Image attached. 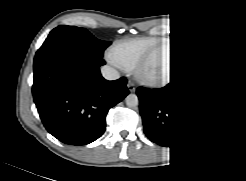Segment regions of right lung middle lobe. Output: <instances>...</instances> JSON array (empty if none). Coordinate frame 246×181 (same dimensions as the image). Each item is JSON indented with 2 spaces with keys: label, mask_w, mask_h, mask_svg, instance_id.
Returning a JSON list of instances; mask_svg holds the SVG:
<instances>
[{
  "label": "right lung middle lobe",
  "mask_w": 246,
  "mask_h": 181,
  "mask_svg": "<svg viewBox=\"0 0 246 181\" xmlns=\"http://www.w3.org/2000/svg\"><path fill=\"white\" fill-rule=\"evenodd\" d=\"M111 44L109 41L96 39L84 28L60 25L53 29L39 48L34 62L57 49L78 50L97 64L104 65L103 52Z\"/></svg>",
  "instance_id": "dd1d6c3e"
}]
</instances>
